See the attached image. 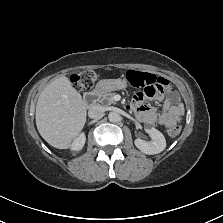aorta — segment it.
Returning a JSON list of instances; mask_svg holds the SVG:
<instances>
[{
  "label": "aorta",
  "instance_id": "obj_1",
  "mask_svg": "<svg viewBox=\"0 0 223 223\" xmlns=\"http://www.w3.org/2000/svg\"><path fill=\"white\" fill-rule=\"evenodd\" d=\"M108 119L111 122H118L120 119V115L116 112H110L108 115Z\"/></svg>",
  "mask_w": 223,
  "mask_h": 223
}]
</instances>
